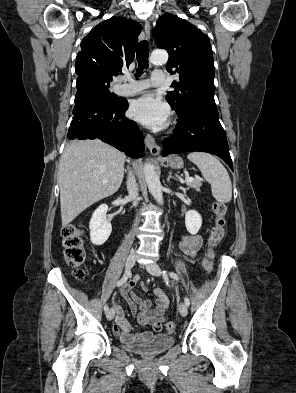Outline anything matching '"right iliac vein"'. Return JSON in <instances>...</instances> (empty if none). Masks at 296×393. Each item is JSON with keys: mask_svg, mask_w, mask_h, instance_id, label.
I'll return each instance as SVG.
<instances>
[{"mask_svg": "<svg viewBox=\"0 0 296 393\" xmlns=\"http://www.w3.org/2000/svg\"><path fill=\"white\" fill-rule=\"evenodd\" d=\"M135 259H136V253H135V251H131L129 256L127 257L126 264H125V271L126 272H129L131 270V268L134 266ZM114 316H115L114 308H111L107 312L106 317L109 321H111L114 318Z\"/></svg>", "mask_w": 296, "mask_h": 393, "instance_id": "obj_1", "label": "right iliac vein"}]
</instances>
